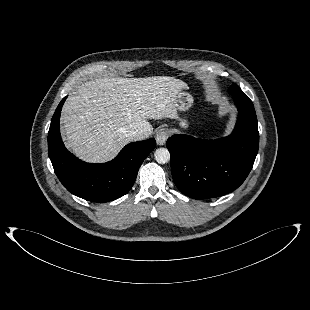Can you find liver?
I'll list each match as a JSON object with an SVG mask.
<instances>
[{"mask_svg": "<svg viewBox=\"0 0 310 310\" xmlns=\"http://www.w3.org/2000/svg\"><path fill=\"white\" fill-rule=\"evenodd\" d=\"M188 86L169 76L104 77L81 84L65 102L62 135L67 147L87 162H106L132 140L131 130L148 138V119H178L176 97Z\"/></svg>", "mask_w": 310, "mask_h": 310, "instance_id": "6515ba94", "label": "liver"}]
</instances>
